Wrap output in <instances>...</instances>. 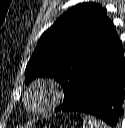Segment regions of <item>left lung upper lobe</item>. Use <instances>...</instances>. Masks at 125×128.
Instances as JSON below:
<instances>
[{"instance_id":"5c2ea615","label":"left lung upper lobe","mask_w":125,"mask_h":128,"mask_svg":"<svg viewBox=\"0 0 125 128\" xmlns=\"http://www.w3.org/2000/svg\"><path fill=\"white\" fill-rule=\"evenodd\" d=\"M119 37L106 10L96 3L78 4L46 30L25 70V82L54 77L63 87L64 102L77 96L87 73Z\"/></svg>"}]
</instances>
